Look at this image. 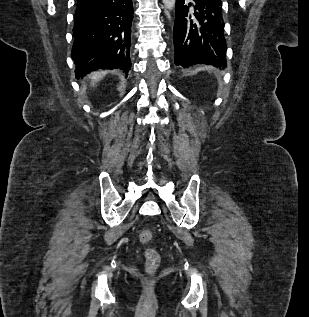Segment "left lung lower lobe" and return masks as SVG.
Masks as SVG:
<instances>
[{
	"instance_id": "left-lung-lower-lobe-1",
	"label": "left lung lower lobe",
	"mask_w": 309,
	"mask_h": 317,
	"mask_svg": "<svg viewBox=\"0 0 309 317\" xmlns=\"http://www.w3.org/2000/svg\"><path fill=\"white\" fill-rule=\"evenodd\" d=\"M221 0H176L175 64L226 67V40Z\"/></svg>"
}]
</instances>
